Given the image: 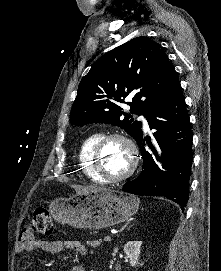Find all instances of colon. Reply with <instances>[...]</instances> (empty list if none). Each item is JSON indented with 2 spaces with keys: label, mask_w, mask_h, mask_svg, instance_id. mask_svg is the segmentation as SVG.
Masks as SVG:
<instances>
[{
  "label": "colon",
  "mask_w": 221,
  "mask_h": 271,
  "mask_svg": "<svg viewBox=\"0 0 221 271\" xmlns=\"http://www.w3.org/2000/svg\"><path fill=\"white\" fill-rule=\"evenodd\" d=\"M53 228L50 214L46 208L36 209L31 221L21 230L20 240L28 243L34 240L38 234H49Z\"/></svg>",
  "instance_id": "5ec220e1"
}]
</instances>
